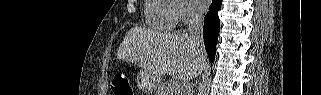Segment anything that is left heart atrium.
I'll use <instances>...</instances> for the list:
<instances>
[{"label": "left heart atrium", "mask_w": 321, "mask_h": 95, "mask_svg": "<svg viewBox=\"0 0 321 95\" xmlns=\"http://www.w3.org/2000/svg\"><path fill=\"white\" fill-rule=\"evenodd\" d=\"M192 2L199 9H205L208 6V0H192Z\"/></svg>", "instance_id": "1"}]
</instances>
